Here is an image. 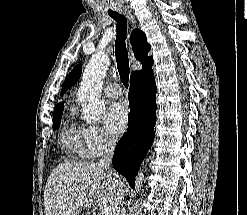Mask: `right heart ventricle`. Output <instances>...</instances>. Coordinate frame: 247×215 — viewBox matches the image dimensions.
Masks as SVG:
<instances>
[{
	"label": "right heart ventricle",
	"mask_w": 247,
	"mask_h": 215,
	"mask_svg": "<svg viewBox=\"0 0 247 215\" xmlns=\"http://www.w3.org/2000/svg\"><path fill=\"white\" fill-rule=\"evenodd\" d=\"M60 140L64 148L70 152L74 158L88 157L87 149L84 147L80 130L73 124H67L63 127L60 134Z\"/></svg>",
	"instance_id": "obj_1"
}]
</instances>
